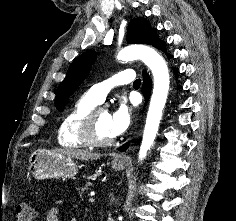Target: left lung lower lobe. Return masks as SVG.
<instances>
[{
	"label": "left lung lower lobe",
	"instance_id": "1",
	"mask_svg": "<svg viewBox=\"0 0 236 221\" xmlns=\"http://www.w3.org/2000/svg\"><path fill=\"white\" fill-rule=\"evenodd\" d=\"M152 45L159 48V49H162V50H164V48H165V43L163 41H161L159 38ZM174 72H175V74L178 73L176 69H174ZM143 79H144V82H143V91L142 92H143V95L147 101L150 97L152 82L149 78V75L145 71H143ZM127 147H128V144L122 146L119 150L124 151L127 149Z\"/></svg>",
	"mask_w": 236,
	"mask_h": 221
}]
</instances>
